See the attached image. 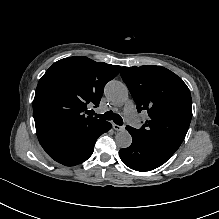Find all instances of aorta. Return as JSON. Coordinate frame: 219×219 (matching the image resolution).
<instances>
[{"instance_id":"1","label":"aorta","mask_w":219,"mask_h":219,"mask_svg":"<svg viewBox=\"0 0 219 219\" xmlns=\"http://www.w3.org/2000/svg\"><path fill=\"white\" fill-rule=\"evenodd\" d=\"M105 95L113 102L123 103L128 98V89L124 83L112 80L105 87ZM115 142L120 148H128L132 144V136L126 130L120 131L115 136Z\"/></svg>"}]
</instances>
